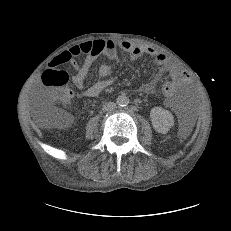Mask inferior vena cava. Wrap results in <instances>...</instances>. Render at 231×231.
I'll return each mask as SVG.
<instances>
[{
  "label": "inferior vena cava",
  "mask_w": 231,
  "mask_h": 231,
  "mask_svg": "<svg viewBox=\"0 0 231 231\" xmlns=\"http://www.w3.org/2000/svg\"><path fill=\"white\" fill-rule=\"evenodd\" d=\"M116 107V104L114 102H107L103 105L102 110L103 111H112Z\"/></svg>",
  "instance_id": "602c4592"
}]
</instances>
